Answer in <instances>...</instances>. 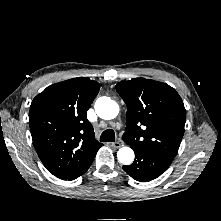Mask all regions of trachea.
<instances>
[{"mask_svg":"<svg viewBox=\"0 0 221 221\" xmlns=\"http://www.w3.org/2000/svg\"><path fill=\"white\" fill-rule=\"evenodd\" d=\"M101 142H114L115 141V133L112 129L105 130L100 136Z\"/></svg>","mask_w":221,"mask_h":221,"instance_id":"1","label":"trachea"}]
</instances>
